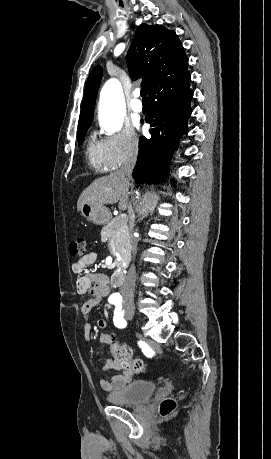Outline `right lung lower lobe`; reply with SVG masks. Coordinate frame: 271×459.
Masks as SVG:
<instances>
[{
    "label": "right lung lower lobe",
    "mask_w": 271,
    "mask_h": 459,
    "mask_svg": "<svg viewBox=\"0 0 271 459\" xmlns=\"http://www.w3.org/2000/svg\"><path fill=\"white\" fill-rule=\"evenodd\" d=\"M188 71L174 75L162 82L149 94L151 138L139 140V155L133 170V178L140 183L159 181L167 171L171 155L179 138L188 132L187 120L192 110L193 92Z\"/></svg>",
    "instance_id": "right-lung-lower-lobe-1"
}]
</instances>
